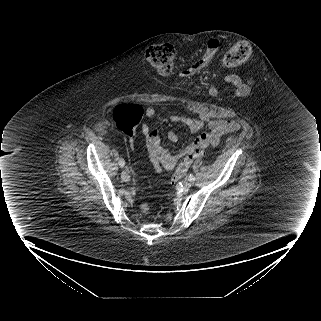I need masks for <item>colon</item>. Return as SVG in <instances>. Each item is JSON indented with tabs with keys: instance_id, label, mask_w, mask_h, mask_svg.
Segmentation results:
<instances>
[{
	"instance_id": "colon-1",
	"label": "colon",
	"mask_w": 321,
	"mask_h": 321,
	"mask_svg": "<svg viewBox=\"0 0 321 321\" xmlns=\"http://www.w3.org/2000/svg\"><path fill=\"white\" fill-rule=\"evenodd\" d=\"M251 47L245 41L237 42L224 55L219 70L226 71L242 65L250 56ZM146 60L150 66L162 76H169L174 72L176 63V51L169 44H159L151 46L146 51ZM145 115L144 108L136 103H126L119 105L114 111V122L117 128L128 134H133L142 118ZM208 144V135L202 134L195 141V149H200ZM202 152L196 150L185 156L179 163L172 176V182L179 181L188 171L194 159L200 157ZM141 211L147 214L151 205L147 202L141 204Z\"/></svg>"
}]
</instances>
